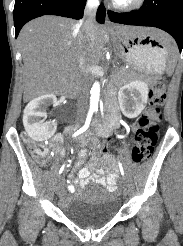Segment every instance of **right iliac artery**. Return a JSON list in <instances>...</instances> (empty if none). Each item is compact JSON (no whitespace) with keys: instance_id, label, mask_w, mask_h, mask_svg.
Masks as SVG:
<instances>
[{"instance_id":"obj_1","label":"right iliac artery","mask_w":183,"mask_h":246,"mask_svg":"<svg viewBox=\"0 0 183 246\" xmlns=\"http://www.w3.org/2000/svg\"><path fill=\"white\" fill-rule=\"evenodd\" d=\"M92 114H93V111L90 110L88 112V115H87V118H86V121H85V124L83 127H81L79 130H77L74 134H73V137H76L77 135L83 133L84 131H86L90 125V122H91V118H92ZM65 167V164L62 165L61 169H60V172L59 173H62L63 169Z\"/></svg>"}]
</instances>
